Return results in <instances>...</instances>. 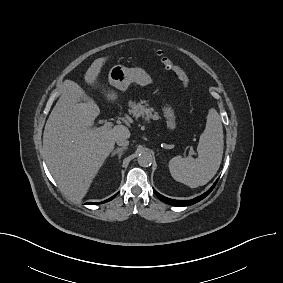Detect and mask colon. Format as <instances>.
I'll return each mask as SVG.
<instances>
[{"label":"colon","mask_w":283,"mask_h":283,"mask_svg":"<svg viewBox=\"0 0 283 283\" xmlns=\"http://www.w3.org/2000/svg\"><path fill=\"white\" fill-rule=\"evenodd\" d=\"M156 54L160 57L161 62L165 65L166 68L172 70L182 83L184 87H188L190 84V79L186 71L173 62L170 58L163 55L161 51H156Z\"/></svg>","instance_id":"obj_1"}]
</instances>
